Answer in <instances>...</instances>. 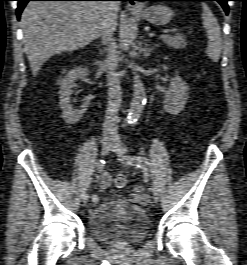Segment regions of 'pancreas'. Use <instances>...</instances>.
Returning a JSON list of instances; mask_svg holds the SVG:
<instances>
[{
  "label": "pancreas",
  "instance_id": "obj_1",
  "mask_svg": "<svg viewBox=\"0 0 247 265\" xmlns=\"http://www.w3.org/2000/svg\"><path fill=\"white\" fill-rule=\"evenodd\" d=\"M164 43L173 49H182L187 46L186 39L182 35L168 36L164 39Z\"/></svg>",
  "mask_w": 247,
  "mask_h": 265
}]
</instances>
